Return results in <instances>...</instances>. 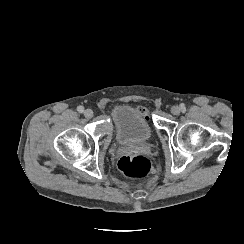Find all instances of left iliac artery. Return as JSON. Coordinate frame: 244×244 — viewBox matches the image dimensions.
I'll return each mask as SVG.
<instances>
[{
    "label": "left iliac artery",
    "instance_id": "1",
    "mask_svg": "<svg viewBox=\"0 0 244 244\" xmlns=\"http://www.w3.org/2000/svg\"><path fill=\"white\" fill-rule=\"evenodd\" d=\"M180 108H181L182 111H184L186 109L185 104H183V103L180 104Z\"/></svg>",
    "mask_w": 244,
    "mask_h": 244
}]
</instances>
